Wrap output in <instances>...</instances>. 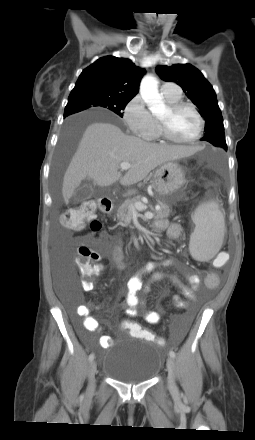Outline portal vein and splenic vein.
<instances>
[{
  "label": "portal vein and splenic vein",
  "mask_w": 255,
  "mask_h": 440,
  "mask_svg": "<svg viewBox=\"0 0 255 440\" xmlns=\"http://www.w3.org/2000/svg\"><path fill=\"white\" fill-rule=\"evenodd\" d=\"M119 167H120L122 170H128V169H130L132 166H131V164L128 163V162H122V163H120ZM144 210H146V206H145L143 203H141V202H137V203H135L134 205H132V206L130 207V211H131L132 214L137 213V211H144ZM145 217H146L147 219H152V218L154 217V214H153L152 212H150V211H147V212L145 213Z\"/></svg>",
  "instance_id": "obj_1"
}]
</instances>
